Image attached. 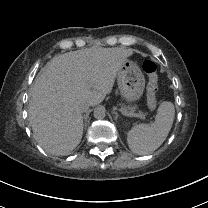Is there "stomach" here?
<instances>
[{
	"label": "stomach",
	"mask_w": 208,
	"mask_h": 208,
	"mask_svg": "<svg viewBox=\"0 0 208 208\" xmlns=\"http://www.w3.org/2000/svg\"><path fill=\"white\" fill-rule=\"evenodd\" d=\"M117 83L122 99L131 106L143 95L145 76L136 64L126 60L117 74Z\"/></svg>",
	"instance_id": "obj_1"
}]
</instances>
